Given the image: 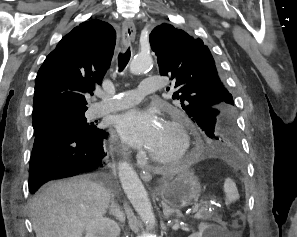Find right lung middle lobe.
Masks as SVG:
<instances>
[{"instance_id":"right-lung-middle-lobe-1","label":"right lung middle lobe","mask_w":297,"mask_h":237,"mask_svg":"<svg viewBox=\"0 0 297 237\" xmlns=\"http://www.w3.org/2000/svg\"><path fill=\"white\" fill-rule=\"evenodd\" d=\"M85 112H73V111H60L55 113H50L39 119L33 120L34 132L39 130L40 127L44 126L46 123L54 120L65 121L69 126L74 128L76 131L83 134H93L98 130V128L93 125V123H87L84 116Z\"/></svg>"}]
</instances>
